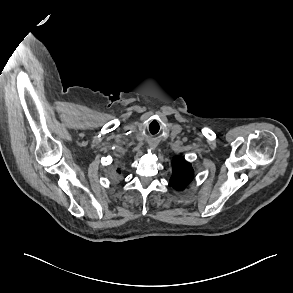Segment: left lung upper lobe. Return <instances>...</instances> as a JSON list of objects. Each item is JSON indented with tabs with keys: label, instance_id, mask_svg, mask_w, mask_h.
<instances>
[{
	"label": "left lung upper lobe",
	"instance_id": "obj_1",
	"mask_svg": "<svg viewBox=\"0 0 293 293\" xmlns=\"http://www.w3.org/2000/svg\"><path fill=\"white\" fill-rule=\"evenodd\" d=\"M193 176L192 166L184 158L178 156L173 160V173L170 184L176 190H183L192 181Z\"/></svg>",
	"mask_w": 293,
	"mask_h": 293
}]
</instances>
